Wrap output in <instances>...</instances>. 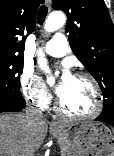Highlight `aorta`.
Here are the masks:
<instances>
[{
  "label": "aorta",
  "instance_id": "1",
  "mask_svg": "<svg viewBox=\"0 0 114 156\" xmlns=\"http://www.w3.org/2000/svg\"><path fill=\"white\" fill-rule=\"evenodd\" d=\"M65 21H66V17L62 12L51 13L45 22L44 29L47 32L56 31L57 29L61 28L65 24ZM38 64L43 70L48 72L46 59L44 58L42 51H39L38 53ZM48 81L49 82L53 81V78H48Z\"/></svg>",
  "mask_w": 114,
  "mask_h": 156
}]
</instances>
